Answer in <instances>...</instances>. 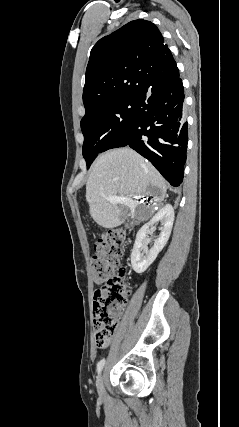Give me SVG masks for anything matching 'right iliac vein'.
<instances>
[{
    "label": "right iliac vein",
    "mask_w": 239,
    "mask_h": 427,
    "mask_svg": "<svg viewBox=\"0 0 239 427\" xmlns=\"http://www.w3.org/2000/svg\"><path fill=\"white\" fill-rule=\"evenodd\" d=\"M96 387H97L98 394H99L100 396H103L104 390H103V375H102V374H100V375L97 377V380H96Z\"/></svg>",
    "instance_id": "63e3f726"
}]
</instances>
